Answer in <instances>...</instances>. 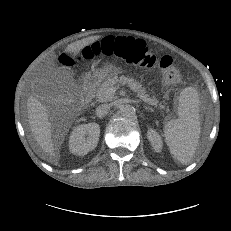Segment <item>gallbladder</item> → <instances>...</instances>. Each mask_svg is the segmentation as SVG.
Listing matches in <instances>:
<instances>
[{
  "label": "gallbladder",
  "mask_w": 231,
  "mask_h": 231,
  "mask_svg": "<svg viewBox=\"0 0 231 231\" xmlns=\"http://www.w3.org/2000/svg\"><path fill=\"white\" fill-rule=\"evenodd\" d=\"M72 80L71 75L65 70H58L52 73L48 82H42L38 85V93L46 99H57L63 94V86Z\"/></svg>",
  "instance_id": "bac80fb5"
}]
</instances>
